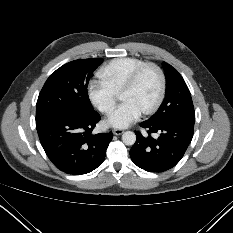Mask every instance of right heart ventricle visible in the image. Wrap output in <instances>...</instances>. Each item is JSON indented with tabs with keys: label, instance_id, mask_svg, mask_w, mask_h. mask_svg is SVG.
<instances>
[{
	"label": "right heart ventricle",
	"instance_id": "right-heart-ventricle-1",
	"mask_svg": "<svg viewBox=\"0 0 233 233\" xmlns=\"http://www.w3.org/2000/svg\"><path fill=\"white\" fill-rule=\"evenodd\" d=\"M145 62L135 57L115 58L102 66L97 75L103 82L112 87L115 92L122 90L131 74Z\"/></svg>",
	"mask_w": 233,
	"mask_h": 233
}]
</instances>
